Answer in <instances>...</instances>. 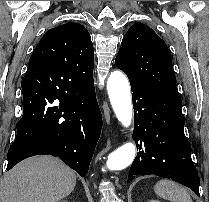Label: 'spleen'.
<instances>
[{"label":"spleen","mask_w":209,"mask_h":202,"mask_svg":"<svg viewBox=\"0 0 209 202\" xmlns=\"http://www.w3.org/2000/svg\"><path fill=\"white\" fill-rule=\"evenodd\" d=\"M154 191L159 197L171 202H193L190 194L182 186L170 180L158 181Z\"/></svg>","instance_id":"obj_1"}]
</instances>
